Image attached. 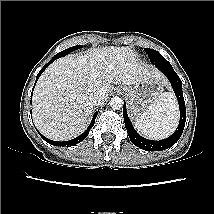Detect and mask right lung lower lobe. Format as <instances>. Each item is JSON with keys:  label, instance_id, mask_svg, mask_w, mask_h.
<instances>
[{"label": "right lung lower lobe", "instance_id": "98d812e1", "mask_svg": "<svg viewBox=\"0 0 214 214\" xmlns=\"http://www.w3.org/2000/svg\"><path fill=\"white\" fill-rule=\"evenodd\" d=\"M55 59H58V58L53 57V58L40 70V72H39L38 75H37L36 81L38 80V78L40 77V75L42 74V72H43ZM35 83H36V82H35ZM34 85H35V84H34ZM33 88H34V87H33ZM96 116H97V113L94 114V117H93V119H92V121H91L89 127L87 128V130H86L84 133H82L80 136H78V137H76V138H74V139H72V140H69V141H62V142L53 141V140H50V139L46 138V137L43 136L41 133H39V132H38V133L40 134V136H41L47 143H49V144H51V145H54V146H67V147H69V146H74V145H76L77 143L83 141V140L88 136L90 129H91V128L93 127V125H94Z\"/></svg>", "mask_w": 214, "mask_h": 214}]
</instances>
